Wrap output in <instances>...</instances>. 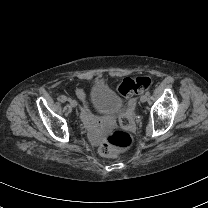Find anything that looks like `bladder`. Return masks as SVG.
<instances>
[{
    "instance_id": "31cf9c89",
    "label": "bladder",
    "mask_w": 208,
    "mask_h": 208,
    "mask_svg": "<svg viewBox=\"0 0 208 208\" xmlns=\"http://www.w3.org/2000/svg\"><path fill=\"white\" fill-rule=\"evenodd\" d=\"M90 102L92 109L100 113H114L115 108H124L119 95L104 82L91 84Z\"/></svg>"
}]
</instances>
